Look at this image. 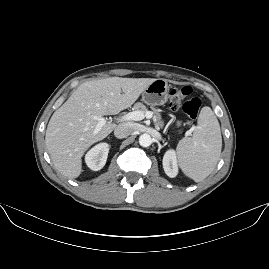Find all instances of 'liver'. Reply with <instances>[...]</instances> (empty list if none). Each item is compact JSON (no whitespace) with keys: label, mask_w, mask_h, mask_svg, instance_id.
Wrapping results in <instances>:
<instances>
[{"label":"liver","mask_w":269,"mask_h":269,"mask_svg":"<svg viewBox=\"0 0 269 269\" xmlns=\"http://www.w3.org/2000/svg\"><path fill=\"white\" fill-rule=\"evenodd\" d=\"M155 80L109 77L82 83L54 112L47 126L45 143L56 169L64 176L78 177L85 151L116 128L107 122L94 134L98 124L94 117L115 115L131 107Z\"/></svg>","instance_id":"6515ba94"}]
</instances>
